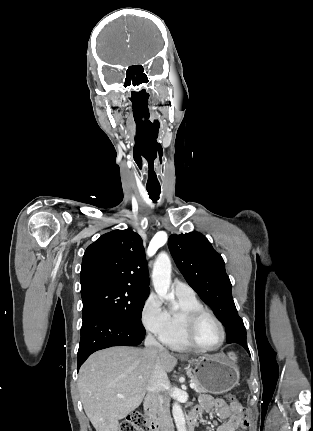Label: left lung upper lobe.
I'll return each instance as SVG.
<instances>
[{
  "mask_svg": "<svg viewBox=\"0 0 313 431\" xmlns=\"http://www.w3.org/2000/svg\"><path fill=\"white\" fill-rule=\"evenodd\" d=\"M168 247L188 284L225 326L227 342L246 344V328L237 313L221 255L199 232L172 234Z\"/></svg>",
  "mask_w": 313,
  "mask_h": 431,
  "instance_id": "left-lung-upper-lobe-1",
  "label": "left lung upper lobe"
}]
</instances>
